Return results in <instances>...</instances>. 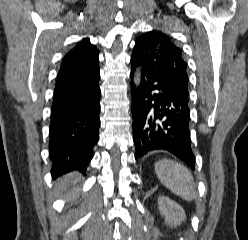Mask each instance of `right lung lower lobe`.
Returning <instances> with one entry per match:
<instances>
[{
	"instance_id": "1",
	"label": "right lung lower lobe",
	"mask_w": 248,
	"mask_h": 240,
	"mask_svg": "<svg viewBox=\"0 0 248 240\" xmlns=\"http://www.w3.org/2000/svg\"><path fill=\"white\" fill-rule=\"evenodd\" d=\"M99 79L97 69L55 87L49 132L53 177L74 170L85 172L93 157L100 126Z\"/></svg>"
}]
</instances>
